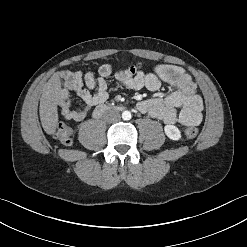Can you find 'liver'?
<instances>
[{"instance_id":"1","label":"liver","mask_w":247,"mask_h":247,"mask_svg":"<svg viewBox=\"0 0 247 247\" xmlns=\"http://www.w3.org/2000/svg\"><path fill=\"white\" fill-rule=\"evenodd\" d=\"M61 95L59 74H54L45 84L40 99L39 114L44 131L52 135L58 124L57 104Z\"/></svg>"}]
</instances>
